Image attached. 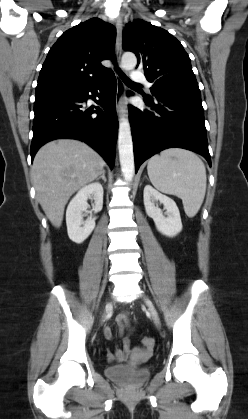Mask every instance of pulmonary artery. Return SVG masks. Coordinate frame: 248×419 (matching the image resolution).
<instances>
[{"label":"pulmonary artery","mask_w":248,"mask_h":419,"mask_svg":"<svg viewBox=\"0 0 248 419\" xmlns=\"http://www.w3.org/2000/svg\"><path fill=\"white\" fill-rule=\"evenodd\" d=\"M132 79L134 82L142 83L147 86H150L151 84L146 80L145 75L140 72L138 69L133 70Z\"/></svg>","instance_id":"e3ab8cb5"}]
</instances>
